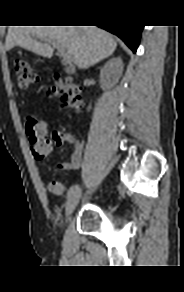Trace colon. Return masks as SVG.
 Returning a JSON list of instances; mask_svg holds the SVG:
<instances>
[{
  "instance_id": "1",
  "label": "colon",
  "mask_w": 184,
  "mask_h": 292,
  "mask_svg": "<svg viewBox=\"0 0 184 292\" xmlns=\"http://www.w3.org/2000/svg\"><path fill=\"white\" fill-rule=\"evenodd\" d=\"M13 71L16 81L20 87H27L37 81L38 76L33 65L26 59L17 58L13 62ZM59 98L63 107L79 111L83 102L80 96V89L71 80L55 79L53 88L49 92ZM26 133L31 143L32 153L35 159L44 160L51 151L49 130L44 121L36 116H29L26 121ZM48 190L60 194L62 184L52 181L48 184Z\"/></svg>"
}]
</instances>
